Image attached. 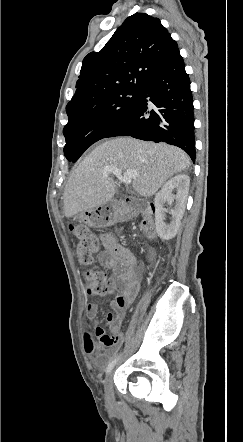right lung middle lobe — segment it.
I'll return each instance as SVG.
<instances>
[{
  "label": "right lung middle lobe",
  "instance_id": "obj_1",
  "mask_svg": "<svg viewBox=\"0 0 243 442\" xmlns=\"http://www.w3.org/2000/svg\"><path fill=\"white\" fill-rule=\"evenodd\" d=\"M140 91L122 92L106 98L96 106L68 117L63 129L66 138L64 154L76 162L93 143L103 139L118 122L126 117Z\"/></svg>",
  "mask_w": 243,
  "mask_h": 442
}]
</instances>
